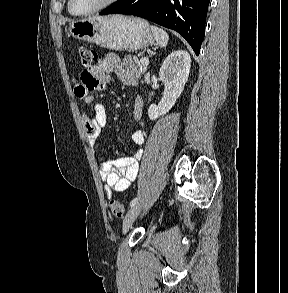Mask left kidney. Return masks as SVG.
I'll return each mask as SVG.
<instances>
[{
	"instance_id": "1",
	"label": "left kidney",
	"mask_w": 288,
	"mask_h": 293,
	"mask_svg": "<svg viewBox=\"0 0 288 293\" xmlns=\"http://www.w3.org/2000/svg\"><path fill=\"white\" fill-rule=\"evenodd\" d=\"M191 67V58L186 51H173L164 60L159 77L165 85L164 94L158 105L151 104L148 108V116L156 120L174 106L180 97L188 80Z\"/></svg>"
}]
</instances>
